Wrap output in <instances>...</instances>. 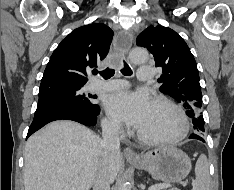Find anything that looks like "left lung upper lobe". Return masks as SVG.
I'll list each match as a JSON object with an SVG mask.
<instances>
[{
  "mask_svg": "<svg viewBox=\"0 0 234 190\" xmlns=\"http://www.w3.org/2000/svg\"><path fill=\"white\" fill-rule=\"evenodd\" d=\"M136 44L147 48L154 56L156 67L162 68L163 74L158 79L163 83L160 90L181 103L194 129L204 132L199 73L183 38L170 28L151 25L139 34Z\"/></svg>",
  "mask_w": 234,
  "mask_h": 190,
  "instance_id": "obj_1",
  "label": "left lung upper lobe"
}]
</instances>
